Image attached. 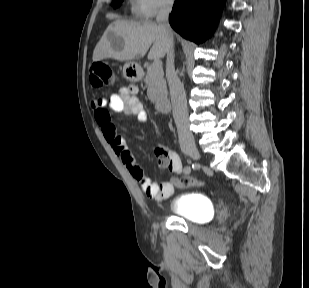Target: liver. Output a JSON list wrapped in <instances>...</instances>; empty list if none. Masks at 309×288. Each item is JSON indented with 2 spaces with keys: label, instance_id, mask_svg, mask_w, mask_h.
Returning a JSON list of instances; mask_svg holds the SVG:
<instances>
[{
  "label": "liver",
  "instance_id": "obj_1",
  "mask_svg": "<svg viewBox=\"0 0 309 288\" xmlns=\"http://www.w3.org/2000/svg\"><path fill=\"white\" fill-rule=\"evenodd\" d=\"M114 34L123 40V47H112L109 35ZM151 47L148 58L159 59L167 53V40L159 24L145 21L135 22L117 19L107 27L93 52V61L113 58L130 61L142 58Z\"/></svg>",
  "mask_w": 309,
  "mask_h": 288
}]
</instances>
